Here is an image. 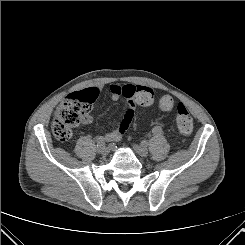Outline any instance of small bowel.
Here are the masks:
<instances>
[{
    "instance_id": "obj_1",
    "label": "small bowel",
    "mask_w": 245,
    "mask_h": 245,
    "mask_svg": "<svg viewBox=\"0 0 245 245\" xmlns=\"http://www.w3.org/2000/svg\"><path fill=\"white\" fill-rule=\"evenodd\" d=\"M138 87L141 86H136L133 84L120 85L115 83L110 85L109 90L111 94V99L113 101H117L119 98L124 97L127 100L128 107L119 126L112 132L103 136H99L97 138L98 141L104 140L107 142H115L121 139L123 134L129 128L135 116L136 107L138 105L135 99V92ZM157 104L160 110L167 112L172 110L175 106V99L171 95H164L159 98ZM93 120V116L91 114H87L83 119V123L89 124L93 122Z\"/></svg>"
}]
</instances>
